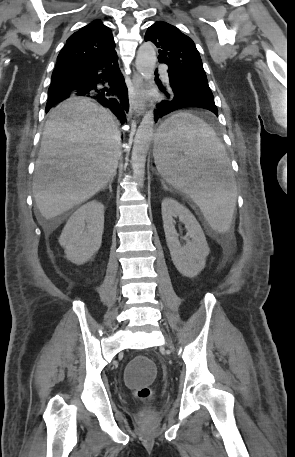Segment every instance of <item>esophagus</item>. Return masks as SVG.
I'll use <instances>...</instances> for the list:
<instances>
[{"label":"esophagus","instance_id":"esophagus-1","mask_svg":"<svg viewBox=\"0 0 295 457\" xmlns=\"http://www.w3.org/2000/svg\"><path fill=\"white\" fill-rule=\"evenodd\" d=\"M144 83L141 76L135 73L133 76V93L129 95V103L132 111L138 115L145 110Z\"/></svg>","mask_w":295,"mask_h":457}]
</instances>
